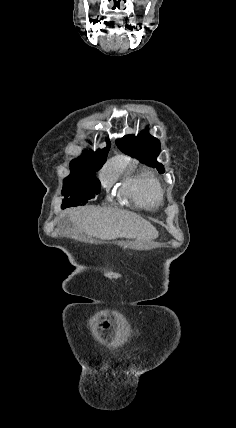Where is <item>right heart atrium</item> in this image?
Returning a JSON list of instances; mask_svg holds the SVG:
<instances>
[{"instance_id": "d8ad5b80", "label": "right heart atrium", "mask_w": 236, "mask_h": 428, "mask_svg": "<svg viewBox=\"0 0 236 428\" xmlns=\"http://www.w3.org/2000/svg\"><path fill=\"white\" fill-rule=\"evenodd\" d=\"M102 184L104 188H109L111 186V180L108 177L103 176Z\"/></svg>"}]
</instances>
